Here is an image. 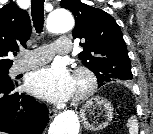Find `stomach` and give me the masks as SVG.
<instances>
[{"label": "stomach", "mask_w": 153, "mask_h": 134, "mask_svg": "<svg viewBox=\"0 0 153 134\" xmlns=\"http://www.w3.org/2000/svg\"><path fill=\"white\" fill-rule=\"evenodd\" d=\"M83 126L90 131L106 128L113 119V107L110 102L101 97L89 99L80 112Z\"/></svg>", "instance_id": "1"}]
</instances>
